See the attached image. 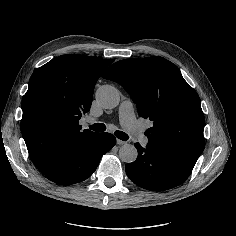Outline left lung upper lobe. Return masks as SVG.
Masks as SVG:
<instances>
[{
    "mask_svg": "<svg viewBox=\"0 0 236 236\" xmlns=\"http://www.w3.org/2000/svg\"><path fill=\"white\" fill-rule=\"evenodd\" d=\"M102 77L123 86L139 115L153 121L145 132L149 143L197 161L205 146L204 114L197 92L173 63L162 57L125 59Z\"/></svg>",
    "mask_w": 236,
    "mask_h": 236,
    "instance_id": "5c2ea615",
    "label": "left lung upper lobe"
}]
</instances>
